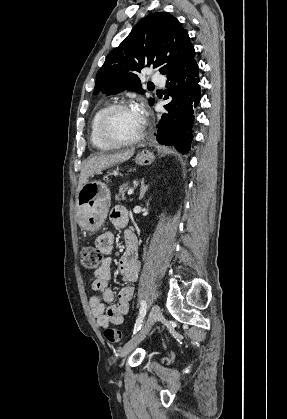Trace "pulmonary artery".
I'll return each instance as SVG.
<instances>
[{
    "instance_id": "pulmonary-artery-1",
    "label": "pulmonary artery",
    "mask_w": 287,
    "mask_h": 419,
    "mask_svg": "<svg viewBox=\"0 0 287 419\" xmlns=\"http://www.w3.org/2000/svg\"><path fill=\"white\" fill-rule=\"evenodd\" d=\"M150 81L156 85H164V78L158 73H152L150 76Z\"/></svg>"
}]
</instances>
